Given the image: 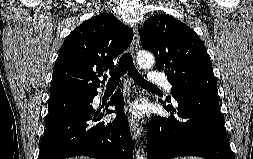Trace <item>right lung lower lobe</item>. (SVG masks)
I'll use <instances>...</instances> for the list:
<instances>
[{"instance_id": "1", "label": "right lung lower lobe", "mask_w": 253, "mask_h": 159, "mask_svg": "<svg viewBox=\"0 0 253 159\" xmlns=\"http://www.w3.org/2000/svg\"><path fill=\"white\" fill-rule=\"evenodd\" d=\"M96 95L97 92L93 98ZM92 101L46 124L38 159H65L80 155L96 159L133 158L130 128L122 112L124 99L121 91H117L108 103L115 106L119 114L113 122H101L104 115L113 111L107 107L94 109Z\"/></svg>"}]
</instances>
